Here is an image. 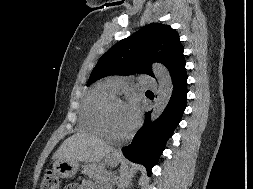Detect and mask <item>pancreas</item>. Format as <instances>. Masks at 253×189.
<instances>
[{
	"mask_svg": "<svg viewBox=\"0 0 253 189\" xmlns=\"http://www.w3.org/2000/svg\"><path fill=\"white\" fill-rule=\"evenodd\" d=\"M82 172L93 180L100 182H105L107 180V172L101 166L86 165L83 167Z\"/></svg>",
	"mask_w": 253,
	"mask_h": 189,
	"instance_id": "cf45deb5",
	"label": "pancreas"
}]
</instances>
